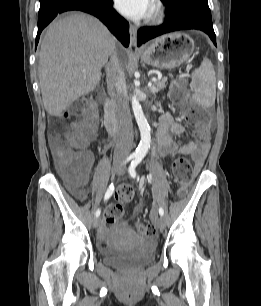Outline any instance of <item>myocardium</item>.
<instances>
[{
    "label": "myocardium",
    "mask_w": 261,
    "mask_h": 306,
    "mask_svg": "<svg viewBox=\"0 0 261 306\" xmlns=\"http://www.w3.org/2000/svg\"><path fill=\"white\" fill-rule=\"evenodd\" d=\"M166 16V10L160 1H156L149 14V21L153 23H159L164 20Z\"/></svg>",
    "instance_id": "myocardium-1"
}]
</instances>
